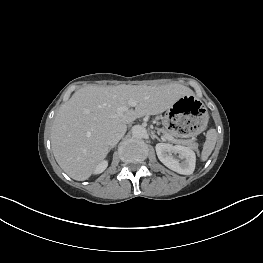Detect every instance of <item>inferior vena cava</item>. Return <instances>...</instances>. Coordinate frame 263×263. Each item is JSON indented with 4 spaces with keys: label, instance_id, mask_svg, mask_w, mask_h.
I'll list each match as a JSON object with an SVG mask.
<instances>
[{
    "label": "inferior vena cava",
    "instance_id": "602c4592",
    "mask_svg": "<svg viewBox=\"0 0 263 263\" xmlns=\"http://www.w3.org/2000/svg\"><path fill=\"white\" fill-rule=\"evenodd\" d=\"M126 128V126H122L110 132L107 140L110 147H114L120 141L126 132Z\"/></svg>",
    "mask_w": 263,
    "mask_h": 263
}]
</instances>
